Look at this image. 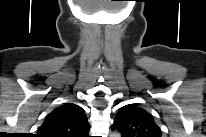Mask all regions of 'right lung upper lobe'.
<instances>
[{
    "mask_svg": "<svg viewBox=\"0 0 206 137\" xmlns=\"http://www.w3.org/2000/svg\"><path fill=\"white\" fill-rule=\"evenodd\" d=\"M90 125L84 110L67 103L49 113L38 128L40 137H88Z\"/></svg>",
    "mask_w": 206,
    "mask_h": 137,
    "instance_id": "right-lung-upper-lobe-1",
    "label": "right lung upper lobe"
}]
</instances>
